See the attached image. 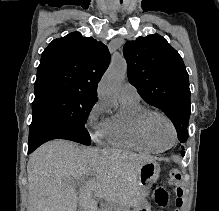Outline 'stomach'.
<instances>
[{"label": "stomach", "instance_id": "1", "mask_svg": "<svg viewBox=\"0 0 219 211\" xmlns=\"http://www.w3.org/2000/svg\"><path fill=\"white\" fill-rule=\"evenodd\" d=\"M160 174V165L156 162H148L138 170V183L141 188L147 190L158 179ZM135 211H151L150 207L143 202Z\"/></svg>", "mask_w": 219, "mask_h": 211}]
</instances>
